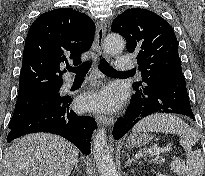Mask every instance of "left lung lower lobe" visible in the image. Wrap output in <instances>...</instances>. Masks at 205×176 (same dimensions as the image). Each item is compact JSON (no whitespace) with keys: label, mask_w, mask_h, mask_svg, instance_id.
I'll return each mask as SVG.
<instances>
[{"label":"left lung lower lobe","mask_w":205,"mask_h":176,"mask_svg":"<svg viewBox=\"0 0 205 176\" xmlns=\"http://www.w3.org/2000/svg\"><path fill=\"white\" fill-rule=\"evenodd\" d=\"M134 90L135 93L124 117L120 118L113 128V137L116 140L123 137L139 121L152 114L176 113L195 120L183 74L162 75Z\"/></svg>","instance_id":"0a47b994"}]
</instances>
